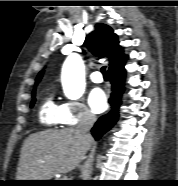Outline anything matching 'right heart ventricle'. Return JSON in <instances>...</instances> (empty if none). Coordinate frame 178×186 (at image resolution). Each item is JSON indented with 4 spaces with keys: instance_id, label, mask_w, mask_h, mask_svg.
Returning a JSON list of instances; mask_svg holds the SVG:
<instances>
[{
    "instance_id": "e07e8e85",
    "label": "right heart ventricle",
    "mask_w": 178,
    "mask_h": 186,
    "mask_svg": "<svg viewBox=\"0 0 178 186\" xmlns=\"http://www.w3.org/2000/svg\"><path fill=\"white\" fill-rule=\"evenodd\" d=\"M39 121L47 128H59L65 124L63 105L57 104L53 97L47 98L40 106Z\"/></svg>"
}]
</instances>
